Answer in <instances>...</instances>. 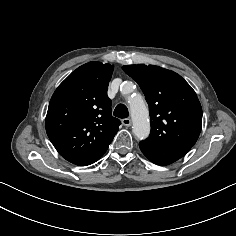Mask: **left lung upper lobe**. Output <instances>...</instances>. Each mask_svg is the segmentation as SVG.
<instances>
[{"instance_id": "5c2ea615", "label": "left lung upper lobe", "mask_w": 236, "mask_h": 236, "mask_svg": "<svg viewBox=\"0 0 236 236\" xmlns=\"http://www.w3.org/2000/svg\"><path fill=\"white\" fill-rule=\"evenodd\" d=\"M122 69L142 89L149 105L151 146L193 147L202 128V108L195 91L177 73L154 65Z\"/></svg>"}]
</instances>
